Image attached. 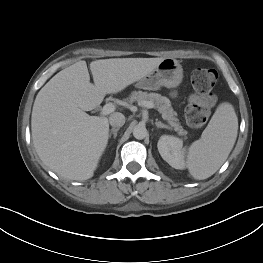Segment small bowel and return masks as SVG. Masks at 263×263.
Wrapping results in <instances>:
<instances>
[{
    "instance_id": "small-bowel-1",
    "label": "small bowel",
    "mask_w": 263,
    "mask_h": 263,
    "mask_svg": "<svg viewBox=\"0 0 263 263\" xmlns=\"http://www.w3.org/2000/svg\"><path fill=\"white\" fill-rule=\"evenodd\" d=\"M199 97L198 96H196V95H193V96H191L190 97V103H194V102H197V101H199Z\"/></svg>"
}]
</instances>
